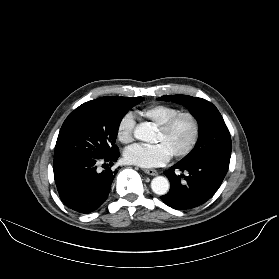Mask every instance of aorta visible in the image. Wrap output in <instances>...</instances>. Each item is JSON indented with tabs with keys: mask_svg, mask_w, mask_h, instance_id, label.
Here are the masks:
<instances>
[{
	"mask_svg": "<svg viewBox=\"0 0 279 279\" xmlns=\"http://www.w3.org/2000/svg\"><path fill=\"white\" fill-rule=\"evenodd\" d=\"M134 137L140 141L151 142L154 140V129L149 125H138L134 129ZM169 181L166 177L157 176L151 181V188L155 194L165 195L169 191Z\"/></svg>",
	"mask_w": 279,
	"mask_h": 279,
	"instance_id": "1",
	"label": "aorta"
}]
</instances>
